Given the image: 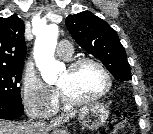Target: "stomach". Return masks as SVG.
Here are the masks:
<instances>
[{"mask_svg": "<svg viewBox=\"0 0 153 134\" xmlns=\"http://www.w3.org/2000/svg\"><path fill=\"white\" fill-rule=\"evenodd\" d=\"M109 116V110L101 103L90 104L79 112V120L83 128L97 130L102 127Z\"/></svg>", "mask_w": 153, "mask_h": 134, "instance_id": "0dacf381", "label": "stomach"}]
</instances>
